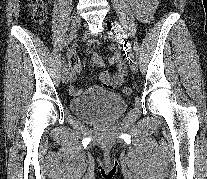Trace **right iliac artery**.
Returning a JSON list of instances; mask_svg holds the SVG:
<instances>
[{"label": "right iliac artery", "mask_w": 207, "mask_h": 179, "mask_svg": "<svg viewBox=\"0 0 207 179\" xmlns=\"http://www.w3.org/2000/svg\"><path fill=\"white\" fill-rule=\"evenodd\" d=\"M74 37L70 36L66 41H65V46H68L70 42L73 40ZM63 71L67 70V66L65 64V61H63Z\"/></svg>", "instance_id": "82829eb1"}]
</instances>
